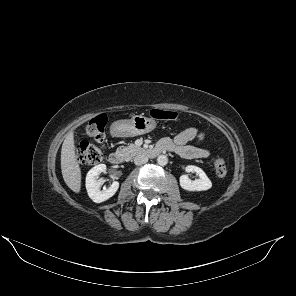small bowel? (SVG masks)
<instances>
[{"label": "small bowel", "instance_id": "c3829d8e", "mask_svg": "<svg viewBox=\"0 0 296 296\" xmlns=\"http://www.w3.org/2000/svg\"><path fill=\"white\" fill-rule=\"evenodd\" d=\"M199 134V129L189 127L179 132L174 138L166 137L161 139L159 145L165 147L167 151L175 153L185 159H205L210 156L209 150L188 144Z\"/></svg>", "mask_w": 296, "mask_h": 296}]
</instances>
